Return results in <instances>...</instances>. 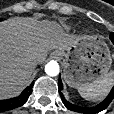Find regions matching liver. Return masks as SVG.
I'll return each mask as SVG.
<instances>
[{
  "label": "liver",
  "instance_id": "obj_1",
  "mask_svg": "<svg viewBox=\"0 0 114 114\" xmlns=\"http://www.w3.org/2000/svg\"><path fill=\"white\" fill-rule=\"evenodd\" d=\"M78 39L54 21L11 18L0 22V99L15 96L26 86L48 51L67 49Z\"/></svg>",
  "mask_w": 114,
  "mask_h": 114
}]
</instances>
